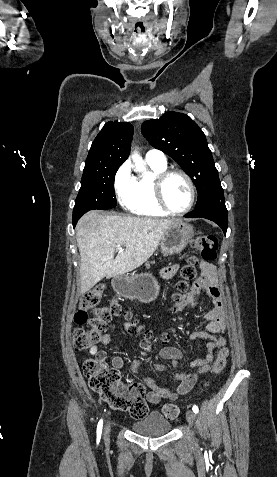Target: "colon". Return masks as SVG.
<instances>
[{
	"label": "colon",
	"instance_id": "obj_1",
	"mask_svg": "<svg viewBox=\"0 0 277 477\" xmlns=\"http://www.w3.org/2000/svg\"><path fill=\"white\" fill-rule=\"evenodd\" d=\"M192 248L202 259L211 261L217 257L218 242L214 236L204 235L195 238ZM180 280L177 282L176 304L183 301L191 292V282L196 279V258L191 256L188 262L180 270ZM104 293V286L99 285L83 295L79 308L74 315V321L79 325L87 324V328H77L73 333V344L77 350L88 349L99 343L107 330L113 317L124 316L130 318V314L122 310L121 306L112 301L108 306H100ZM175 309L179 310L176 305ZM93 311L89 318L88 311ZM134 329L140 332V328L133 324ZM164 334L162 339L168 340ZM228 350L222 348L212 365L211 372L218 373L226 365ZM84 374L90 388L96 392L100 399L110 408L128 412L134 418H142L148 408L143 398L144 388L141 384H124L119 373L109 367L104 357L88 358L83 364ZM163 414L168 419H175L179 415V408L175 404H166Z\"/></svg>",
	"mask_w": 277,
	"mask_h": 477
}]
</instances>
